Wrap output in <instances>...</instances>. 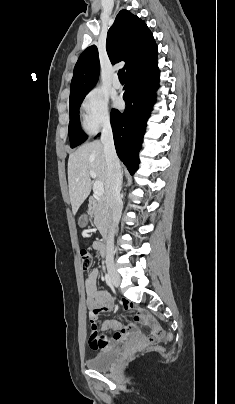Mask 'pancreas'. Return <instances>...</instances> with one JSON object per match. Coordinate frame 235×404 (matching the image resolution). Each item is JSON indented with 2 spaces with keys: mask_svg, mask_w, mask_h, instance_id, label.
I'll use <instances>...</instances> for the list:
<instances>
[{
  "mask_svg": "<svg viewBox=\"0 0 235 404\" xmlns=\"http://www.w3.org/2000/svg\"><path fill=\"white\" fill-rule=\"evenodd\" d=\"M94 224L102 235H105L108 220V208L105 202L100 201L93 210Z\"/></svg>",
  "mask_w": 235,
  "mask_h": 404,
  "instance_id": "1",
  "label": "pancreas"
}]
</instances>
